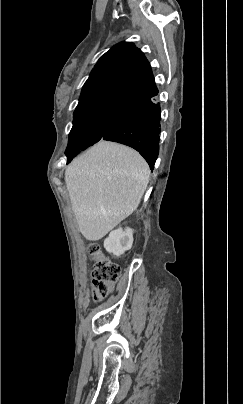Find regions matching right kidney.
Here are the masks:
<instances>
[{
	"label": "right kidney",
	"instance_id": "1",
	"mask_svg": "<svg viewBox=\"0 0 243 404\" xmlns=\"http://www.w3.org/2000/svg\"><path fill=\"white\" fill-rule=\"evenodd\" d=\"M133 244V230L131 228H118V230H113L110 232L108 238L104 240V248L109 254L113 256H122L124 252L130 250Z\"/></svg>",
	"mask_w": 243,
	"mask_h": 404
}]
</instances>
